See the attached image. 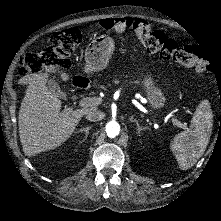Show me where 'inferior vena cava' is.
<instances>
[{"label": "inferior vena cava", "instance_id": "602c4592", "mask_svg": "<svg viewBox=\"0 0 221 221\" xmlns=\"http://www.w3.org/2000/svg\"><path fill=\"white\" fill-rule=\"evenodd\" d=\"M105 117L106 114L96 108H90L88 111L85 112V118L91 122L103 120Z\"/></svg>", "mask_w": 221, "mask_h": 221}]
</instances>
